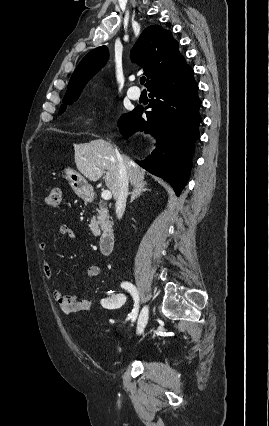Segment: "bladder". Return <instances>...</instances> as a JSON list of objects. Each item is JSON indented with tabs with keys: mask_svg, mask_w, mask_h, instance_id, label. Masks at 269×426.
<instances>
[{
	"mask_svg": "<svg viewBox=\"0 0 269 426\" xmlns=\"http://www.w3.org/2000/svg\"><path fill=\"white\" fill-rule=\"evenodd\" d=\"M126 361V357L124 355H119L115 357L116 364H122Z\"/></svg>",
	"mask_w": 269,
	"mask_h": 426,
	"instance_id": "bladder-1",
	"label": "bladder"
}]
</instances>
